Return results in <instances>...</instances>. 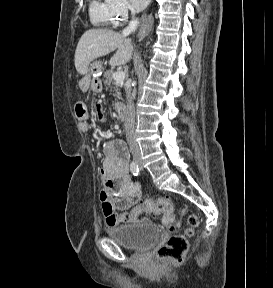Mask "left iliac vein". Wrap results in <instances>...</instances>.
Wrapping results in <instances>:
<instances>
[{
  "label": "left iliac vein",
  "mask_w": 273,
  "mask_h": 288,
  "mask_svg": "<svg viewBox=\"0 0 273 288\" xmlns=\"http://www.w3.org/2000/svg\"><path fill=\"white\" fill-rule=\"evenodd\" d=\"M139 167H140L141 170L143 169V164H142V162H139Z\"/></svg>",
  "instance_id": "obj_1"
}]
</instances>
